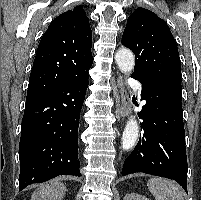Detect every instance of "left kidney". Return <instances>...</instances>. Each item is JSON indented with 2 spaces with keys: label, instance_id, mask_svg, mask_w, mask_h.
Listing matches in <instances>:
<instances>
[{
  "label": "left kidney",
  "instance_id": "left-kidney-1",
  "mask_svg": "<svg viewBox=\"0 0 201 200\" xmlns=\"http://www.w3.org/2000/svg\"><path fill=\"white\" fill-rule=\"evenodd\" d=\"M123 200H149V199L139 194L130 193L125 195Z\"/></svg>",
  "mask_w": 201,
  "mask_h": 200
}]
</instances>
